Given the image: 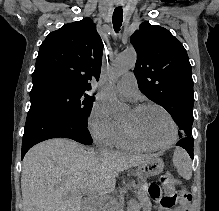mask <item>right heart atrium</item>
I'll use <instances>...</instances> for the list:
<instances>
[{"label": "right heart atrium", "instance_id": "obj_1", "mask_svg": "<svg viewBox=\"0 0 219 211\" xmlns=\"http://www.w3.org/2000/svg\"><path fill=\"white\" fill-rule=\"evenodd\" d=\"M87 125L98 143L108 147L116 144L121 124L110 116L103 104L93 103L87 117Z\"/></svg>", "mask_w": 219, "mask_h": 211}]
</instances>
